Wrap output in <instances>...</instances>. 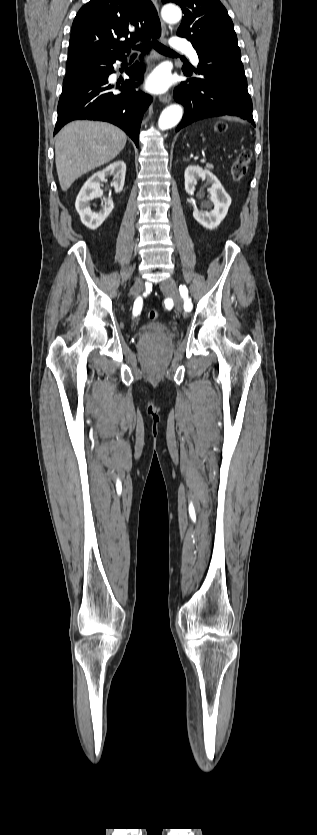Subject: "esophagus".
Returning <instances> with one entry per match:
<instances>
[{
  "instance_id": "1",
  "label": "esophagus",
  "mask_w": 317,
  "mask_h": 835,
  "mask_svg": "<svg viewBox=\"0 0 317 835\" xmlns=\"http://www.w3.org/2000/svg\"><path fill=\"white\" fill-rule=\"evenodd\" d=\"M152 2L155 6V9H156L157 13L159 14L158 1L157 0H152ZM160 24H161L162 37H164L166 32H167L166 25L164 24V22L162 20L160 21ZM171 100H172L171 94H164V95L160 96V101L162 103H169V102H171Z\"/></svg>"
}]
</instances>
